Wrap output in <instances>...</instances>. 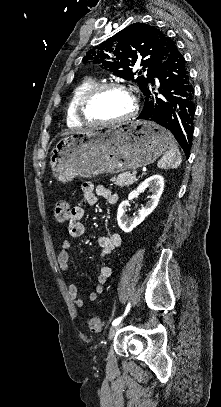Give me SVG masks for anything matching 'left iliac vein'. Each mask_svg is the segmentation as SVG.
<instances>
[{"label":"left iliac vein","instance_id":"1","mask_svg":"<svg viewBox=\"0 0 221 407\" xmlns=\"http://www.w3.org/2000/svg\"><path fill=\"white\" fill-rule=\"evenodd\" d=\"M123 325H124L123 323H120V324H118V325L113 326V327L110 329L109 334H108V340H109V341L112 340V338L114 337L115 333H116L119 329H121Z\"/></svg>","mask_w":221,"mask_h":407}]
</instances>
